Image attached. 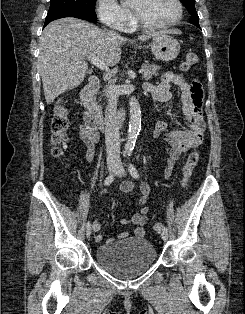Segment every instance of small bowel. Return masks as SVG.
Masks as SVG:
<instances>
[{
  "mask_svg": "<svg viewBox=\"0 0 245 314\" xmlns=\"http://www.w3.org/2000/svg\"><path fill=\"white\" fill-rule=\"evenodd\" d=\"M177 86L181 92L182 112L184 122L189 127L188 130L177 129L168 131V124L165 121L157 122L152 136L155 139H162L166 143L165 158V177L169 178L174 170L175 163L181 155L198 146L204 137L206 126L202 115L203 90L199 81L186 79L179 73L166 72L158 85H148L146 90L150 92L153 100L159 103L170 101L172 86ZM79 135L86 148V159L92 162L95 158L96 143L99 141V134L91 119L87 114L84 115L83 123L79 126ZM136 186L134 181H125L121 184V192L127 193L132 191ZM141 196L138 199L140 209L130 218L121 220L123 225L133 224L135 238H143L145 235V225L148 222L147 214L149 207L146 205L150 187L147 183L140 184ZM102 225L97 220L93 222V230L100 231ZM128 237L127 232L120 233L116 238L125 239ZM116 238H108L106 242H114ZM103 239L102 234L96 236V241Z\"/></svg>",
  "mask_w": 245,
  "mask_h": 314,
  "instance_id": "c3829d8e",
  "label": "small bowel"
}]
</instances>
